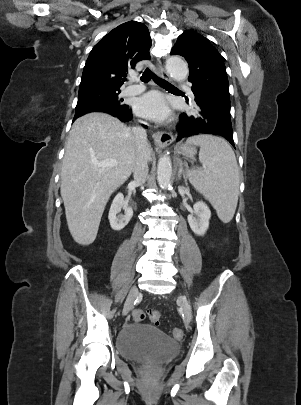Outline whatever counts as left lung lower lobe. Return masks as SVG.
Listing matches in <instances>:
<instances>
[{"instance_id": "obj_1", "label": "left lung lower lobe", "mask_w": 301, "mask_h": 405, "mask_svg": "<svg viewBox=\"0 0 301 405\" xmlns=\"http://www.w3.org/2000/svg\"><path fill=\"white\" fill-rule=\"evenodd\" d=\"M197 104L195 114L182 113L177 126V141L184 137L211 134L224 137L233 147L230 104L211 98L205 92L192 88Z\"/></svg>"}]
</instances>
